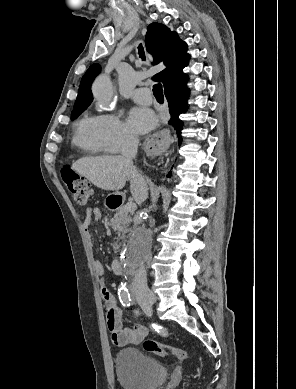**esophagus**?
<instances>
[{
  "label": "esophagus",
  "mask_w": 296,
  "mask_h": 389,
  "mask_svg": "<svg viewBox=\"0 0 296 389\" xmlns=\"http://www.w3.org/2000/svg\"><path fill=\"white\" fill-rule=\"evenodd\" d=\"M156 134L146 135L143 139L144 146L151 149L153 154L168 151L174 141V134L163 127L158 128Z\"/></svg>",
  "instance_id": "1"
}]
</instances>
